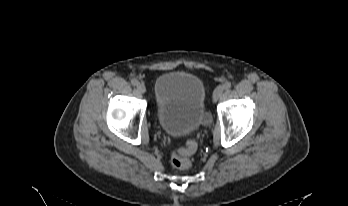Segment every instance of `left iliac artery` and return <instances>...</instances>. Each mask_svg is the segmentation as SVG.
Masks as SVG:
<instances>
[{
    "instance_id": "left-iliac-artery-1",
    "label": "left iliac artery",
    "mask_w": 348,
    "mask_h": 206,
    "mask_svg": "<svg viewBox=\"0 0 348 206\" xmlns=\"http://www.w3.org/2000/svg\"><path fill=\"white\" fill-rule=\"evenodd\" d=\"M223 88L225 90H229L231 88V83L230 82H226L224 85H223Z\"/></svg>"
}]
</instances>
